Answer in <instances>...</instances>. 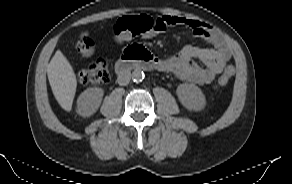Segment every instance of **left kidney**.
Returning a JSON list of instances; mask_svg holds the SVG:
<instances>
[{"instance_id": "obj_1", "label": "left kidney", "mask_w": 292, "mask_h": 184, "mask_svg": "<svg viewBox=\"0 0 292 184\" xmlns=\"http://www.w3.org/2000/svg\"><path fill=\"white\" fill-rule=\"evenodd\" d=\"M176 93L181 104L188 110L200 111L206 105L203 92L194 84H180L177 87Z\"/></svg>"}]
</instances>
